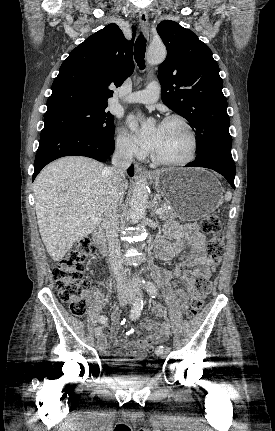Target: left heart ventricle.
Segmentation results:
<instances>
[{
	"instance_id": "left-heart-ventricle-1",
	"label": "left heart ventricle",
	"mask_w": 275,
	"mask_h": 431,
	"mask_svg": "<svg viewBox=\"0 0 275 431\" xmlns=\"http://www.w3.org/2000/svg\"><path fill=\"white\" fill-rule=\"evenodd\" d=\"M190 149V139L184 127L177 123L161 126L160 138L154 152L162 159L177 161L185 158Z\"/></svg>"
}]
</instances>
